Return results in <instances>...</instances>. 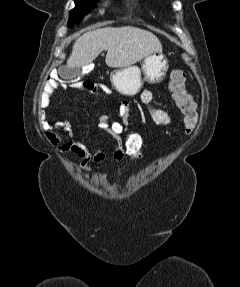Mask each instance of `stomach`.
Returning <instances> with one entry per match:
<instances>
[{
	"instance_id": "1",
	"label": "stomach",
	"mask_w": 240,
	"mask_h": 287,
	"mask_svg": "<svg viewBox=\"0 0 240 287\" xmlns=\"http://www.w3.org/2000/svg\"><path fill=\"white\" fill-rule=\"evenodd\" d=\"M168 71V61L161 52H154L145 57L141 69L129 66L115 70L110 79L115 89L126 96H133L139 92L144 82L160 83ZM143 74V78H142Z\"/></svg>"
}]
</instances>
